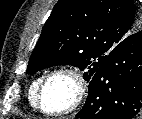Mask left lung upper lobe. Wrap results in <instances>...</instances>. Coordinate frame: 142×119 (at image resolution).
Masks as SVG:
<instances>
[{
    "instance_id": "5c2ea615",
    "label": "left lung upper lobe",
    "mask_w": 142,
    "mask_h": 119,
    "mask_svg": "<svg viewBox=\"0 0 142 119\" xmlns=\"http://www.w3.org/2000/svg\"><path fill=\"white\" fill-rule=\"evenodd\" d=\"M141 25L133 0H59L42 29L26 72L72 65L85 70L84 79L89 82L108 53Z\"/></svg>"
}]
</instances>
